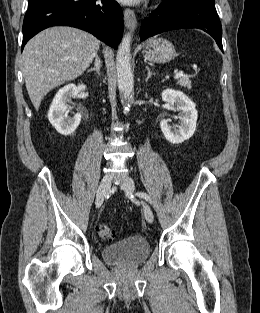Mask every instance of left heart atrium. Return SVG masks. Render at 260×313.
I'll return each mask as SVG.
<instances>
[{
  "mask_svg": "<svg viewBox=\"0 0 260 313\" xmlns=\"http://www.w3.org/2000/svg\"><path fill=\"white\" fill-rule=\"evenodd\" d=\"M121 1L124 2V3H127V4H136V3H139L142 0H121Z\"/></svg>",
  "mask_w": 260,
  "mask_h": 313,
  "instance_id": "1",
  "label": "left heart atrium"
}]
</instances>
